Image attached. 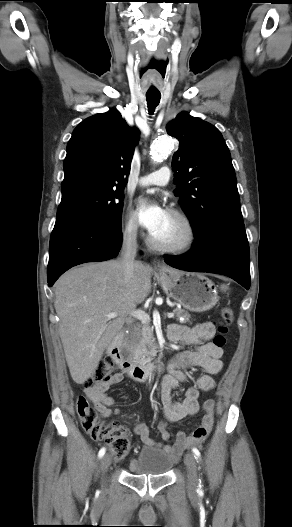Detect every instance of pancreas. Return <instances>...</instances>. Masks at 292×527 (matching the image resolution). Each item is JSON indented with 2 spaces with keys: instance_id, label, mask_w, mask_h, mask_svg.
I'll return each instance as SVG.
<instances>
[{
  "instance_id": "1",
  "label": "pancreas",
  "mask_w": 292,
  "mask_h": 527,
  "mask_svg": "<svg viewBox=\"0 0 292 527\" xmlns=\"http://www.w3.org/2000/svg\"><path fill=\"white\" fill-rule=\"evenodd\" d=\"M173 313L180 323L189 322L190 314L184 309L176 308ZM154 340L153 328L148 324L137 323L131 328L126 341L135 351H141L146 345L153 347Z\"/></svg>"
}]
</instances>
